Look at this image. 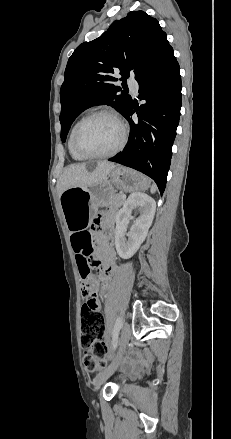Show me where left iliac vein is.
<instances>
[{"label": "left iliac vein", "mask_w": 231, "mask_h": 439, "mask_svg": "<svg viewBox=\"0 0 231 439\" xmlns=\"http://www.w3.org/2000/svg\"><path fill=\"white\" fill-rule=\"evenodd\" d=\"M131 337V328L130 325L126 322L122 328L121 336H120V350L114 361L108 366L103 372H101L95 380V390L98 391L101 385L116 371L118 366L120 365L127 345L129 343Z\"/></svg>", "instance_id": "1"}]
</instances>
